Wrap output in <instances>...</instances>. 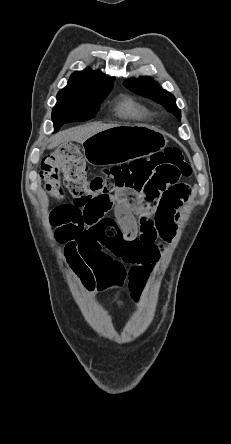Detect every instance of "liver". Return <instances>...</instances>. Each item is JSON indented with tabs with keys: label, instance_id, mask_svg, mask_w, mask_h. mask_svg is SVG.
I'll list each match as a JSON object with an SVG mask.
<instances>
[{
	"label": "liver",
	"instance_id": "1",
	"mask_svg": "<svg viewBox=\"0 0 231 444\" xmlns=\"http://www.w3.org/2000/svg\"><path fill=\"white\" fill-rule=\"evenodd\" d=\"M117 126L119 125L91 123L84 126L68 129L52 136L49 140L50 143L48 145V149L55 148L59 146L61 143H67L69 141L83 143L86 139H88L92 135Z\"/></svg>",
	"mask_w": 231,
	"mask_h": 444
}]
</instances>
